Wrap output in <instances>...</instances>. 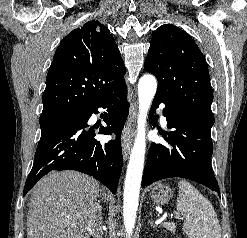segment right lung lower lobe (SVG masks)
<instances>
[{
    "mask_svg": "<svg viewBox=\"0 0 247 238\" xmlns=\"http://www.w3.org/2000/svg\"><path fill=\"white\" fill-rule=\"evenodd\" d=\"M127 87L122 84L94 104L71 115L63 123L41 133L32 170L26 180L23 196L50 171L83 172L116 193L123 157L120 134L128 116ZM107 109L106 127L89 126L91 115L98 108ZM116 134L115 140L101 144L96 134Z\"/></svg>",
    "mask_w": 247,
    "mask_h": 238,
    "instance_id": "obj_1",
    "label": "right lung lower lobe"
}]
</instances>
